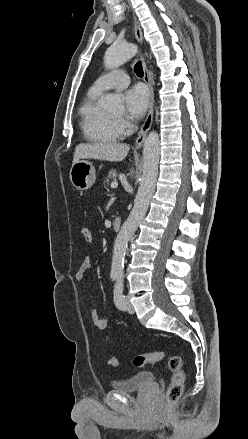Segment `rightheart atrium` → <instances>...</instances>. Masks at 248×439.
Listing matches in <instances>:
<instances>
[{"instance_id":"right-heart-atrium-1","label":"right heart atrium","mask_w":248,"mask_h":439,"mask_svg":"<svg viewBox=\"0 0 248 439\" xmlns=\"http://www.w3.org/2000/svg\"><path fill=\"white\" fill-rule=\"evenodd\" d=\"M118 127L120 128V130L122 132H127L130 129V125L127 121H125L124 119H118L116 120Z\"/></svg>"}]
</instances>
